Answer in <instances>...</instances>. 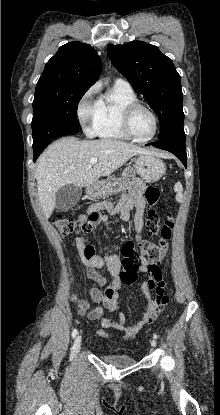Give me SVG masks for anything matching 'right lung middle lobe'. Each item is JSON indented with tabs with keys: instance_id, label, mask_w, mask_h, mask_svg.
<instances>
[{
	"instance_id": "right-lung-middle-lobe-1",
	"label": "right lung middle lobe",
	"mask_w": 220,
	"mask_h": 415,
	"mask_svg": "<svg viewBox=\"0 0 220 415\" xmlns=\"http://www.w3.org/2000/svg\"><path fill=\"white\" fill-rule=\"evenodd\" d=\"M70 84H37L33 101V150L78 132L77 106L88 90Z\"/></svg>"
}]
</instances>
